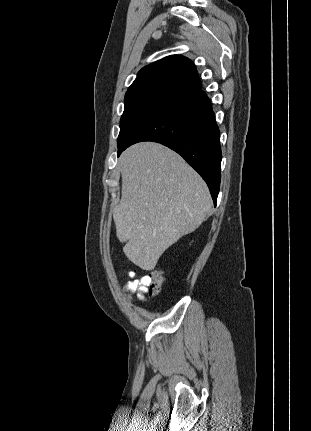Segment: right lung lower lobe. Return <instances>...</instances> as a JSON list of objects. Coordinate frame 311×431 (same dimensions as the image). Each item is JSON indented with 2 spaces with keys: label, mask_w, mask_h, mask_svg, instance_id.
Masks as SVG:
<instances>
[{
  "label": "right lung lower lobe",
  "mask_w": 311,
  "mask_h": 431,
  "mask_svg": "<svg viewBox=\"0 0 311 431\" xmlns=\"http://www.w3.org/2000/svg\"><path fill=\"white\" fill-rule=\"evenodd\" d=\"M141 141L161 143L180 154L205 180L216 204L221 178L220 132L202 89L164 107L135 131L123 150Z\"/></svg>",
  "instance_id": "98d812e1"
}]
</instances>
